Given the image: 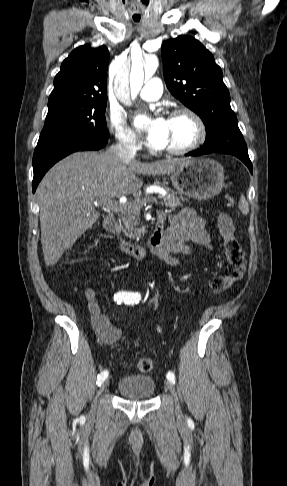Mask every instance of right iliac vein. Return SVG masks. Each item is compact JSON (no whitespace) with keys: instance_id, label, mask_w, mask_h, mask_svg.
I'll return each instance as SVG.
<instances>
[{"instance_id":"obj_1","label":"right iliac vein","mask_w":287,"mask_h":486,"mask_svg":"<svg viewBox=\"0 0 287 486\" xmlns=\"http://www.w3.org/2000/svg\"><path fill=\"white\" fill-rule=\"evenodd\" d=\"M108 385H109V381L108 380L102 382V384L100 385L98 394H100L101 392H103L108 387Z\"/></svg>"}]
</instances>
